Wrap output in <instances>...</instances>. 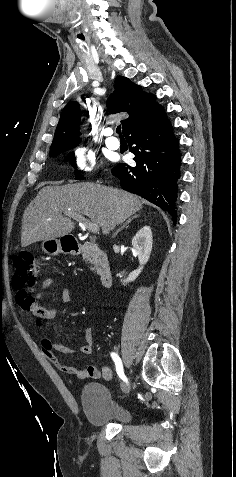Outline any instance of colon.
<instances>
[{"mask_svg":"<svg viewBox=\"0 0 236 477\" xmlns=\"http://www.w3.org/2000/svg\"><path fill=\"white\" fill-rule=\"evenodd\" d=\"M14 266L13 285L17 291V304L19 307H25L32 296L29 291L38 281L39 268L34 255L29 252L18 254Z\"/></svg>","mask_w":236,"mask_h":477,"instance_id":"1","label":"colon"}]
</instances>
